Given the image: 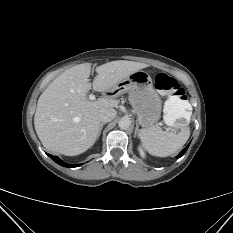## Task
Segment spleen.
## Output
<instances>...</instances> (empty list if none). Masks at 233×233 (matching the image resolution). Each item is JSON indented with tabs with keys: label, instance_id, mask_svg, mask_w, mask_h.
<instances>
[{
	"label": "spleen",
	"instance_id": "spleen-1",
	"mask_svg": "<svg viewBox=\"0 0 233 233\" xmlns=\"http://www.w3.org/2000/svg\"><path fill=\"white\" fill-rule=\"evenodd\" d=\"M192 106L188 101L168 99L164 105V121L173 126L175 121L184 118L190 121ZM138 136L145 149L154 156L166 157L176 153L187 142L190 130L185 124L179 133L162 131L158 126L141 129Z\"/></svg>",
	"mask_w": 233,
	"mask_h": 233
}]
</instances>
